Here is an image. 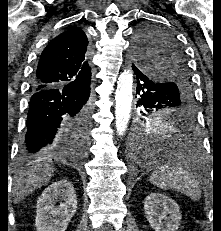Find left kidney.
I'll list each match as a JSON object with an SVG mask.
<instances>
[{
    "label": "left kidney",
    "mask_w": 221,
    "mask_h": 231,
    "mask_svg": "<svg viewBox=\"0 0 221 231\" xmlns=\"http://www.w3.org/2000/svg\"><path fill=\"white\" fill-rule=\"evenodd\" d=\"M147 221L154 231H177L182 218L178 204L161 193L149 194L144 202Z\"/></svg>",
    "instance_id": "5707ae66"
}]
</instances>
